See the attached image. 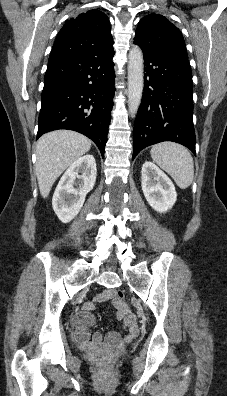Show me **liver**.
Here are the masks:
<instances>
[{"instance_id": "1", "label": "liver", "mask_w": 227, "mask_h": 396, "mask_svg": "<svg viewBox=\"0 0 227 396\" xmlns=\"http://www.w3.org/2000/svg\"><path fill=\"white\" fill-rule=\"evenodd\" d=\"M90 148L91 140L70 130L52 131L39 138L35 171L43 198L48 197L54 182L66 168Z\"/></svg>"}]
</instances>
